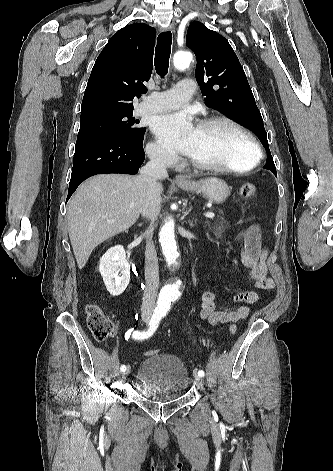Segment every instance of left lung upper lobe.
Listing matches in <instances>:
<instances>
[{"mask_svg": "<svg viewBox=\"0 0 333 471\" xmlns=\"http://www.w3.org/2000/svg\"><path fill=\"white\" fill-rule=\"evenodd\" d=\"M187 46L196 57V79L206 104L249 128L267 152L265 169L277 176L263 119L245 72L229 42L201 22L187 30Z\"/></svg>", "mask_w": 333, "mask_h": 471, "instance_id": "5c2ea615", "label": "left lung upper lobe"}]
</instances>
